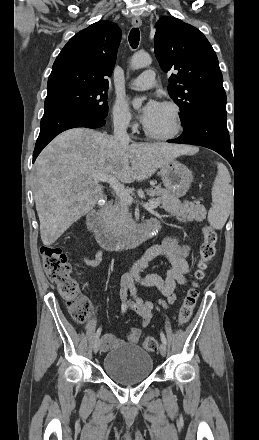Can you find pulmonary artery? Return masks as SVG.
Returning <instances> with one entry per match:
<instances>
[{
    "mask_svg": "<svg viewBox=\"0 0 259 440\" xmlns=\"http://www.w3.org/2000/svg\"><path fill=\"white\" fill-rule=\"evenodd\" d=\"M156 83V74L152 69L145 70L135 79L129 82V87L135 90H146L154 86Z\"/></svg>",
    "mask_w": 259,
    "mask_h": 440,
    "instance_id": "obj_1",
    "label": "pulmonary artery"
}]
</instances>
